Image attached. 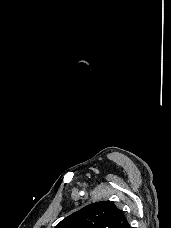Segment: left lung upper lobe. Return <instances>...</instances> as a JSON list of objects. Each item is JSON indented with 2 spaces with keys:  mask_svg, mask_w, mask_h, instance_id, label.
I'll use <instances>...</instances> for the list:
<instances>
[{
  "mask_svg": "<svg viewBox=\"0 0 171 228\" xmlns=\"http://www.w3.org/2000/svg\"><path fill=\"white\" fill-rule=\"evenodd\" d=\"M127 222L113 202L100 201L69 215L55 228H122Z\"/></svg>",
  "mask_w": 171,
  "mask_h": 228,
  "instance_id": "5c2ea615",
  "label": "left lung upper lobe"
}]
</instances>
